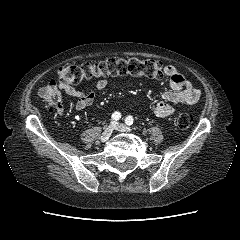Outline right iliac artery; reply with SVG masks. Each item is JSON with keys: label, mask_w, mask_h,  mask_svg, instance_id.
<instances>
[{"label": "right iliac artery", "mask_w": 240, "mask_h": 240, "mask_svg": "<svg viewBox=\"0 0 240 240\" xmlns=\"http://www.w3.org/2000/svg\"><path fill=\"white\" fill-rule=\"evenodd\" d=\"M120 118H121V113L120 112H114L111 116V119L115 120V121L119 120Z\"/></svg>", "instance_id": "right-iliac-artery-1"}]
</instances>
